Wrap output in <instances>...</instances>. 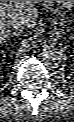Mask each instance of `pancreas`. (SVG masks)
Instances as JSON below:
<instances>
[{
    "label": "pancreas",
    "mask_w": 74,
    "mask_h": 122,
    "mask_svg": "<svg viewBox=\"0 0 74 122\" xmlns=\"http://www.w3.org/2000/svg\"><path fill=\"white\" fill-rule=\"evenodd\" d=\"M51 4H52V1H45L43 5L44 7L49 8Z\"/></svg>",
    "instance_id": "1"
}]
</instances>
